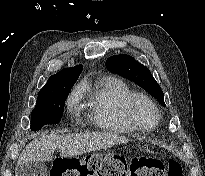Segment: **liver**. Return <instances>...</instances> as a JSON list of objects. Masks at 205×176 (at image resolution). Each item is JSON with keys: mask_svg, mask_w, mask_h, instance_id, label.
Segmentation results:
<instances>
[{"mask_svg": "<svg viewBox=\"0 0 205 176\" xmlns=\"http://www.w3.org/2000/svg\"><path fill=\"white\" fill-rule=\"evenodd\" d=\"M125 142H127L125 137L106 133L43 135L31 141L23 149L17 166L28 162L51 161L57 148L61 150V156L73 157Z\"/></svg>", "mask_w": 205, "mask_h": 176, "instance_id": "6515ba94", "label": "liver"}]
</instances>
